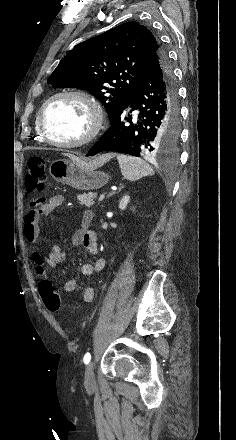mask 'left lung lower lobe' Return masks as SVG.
<instances>
[{"label": "left lung lower lobe", "instance_id": "0a47b994", "mask_svg": "<svg viewBox=\"0 0 236 440\" xmlns=\"http://www.w3.org/2000/svg\"><path fill=\"white\" fill-rule=\"evenodd\" d=\"M139 109L137 117L132 111ZM177 87L166 53L154 56L116 116L110 128L86 156L115 151L139 157L155 151L161 144L172 145L179 128Z\"/></svg>", "mask_w": 236, "mask_h": 440}]
</instances>
